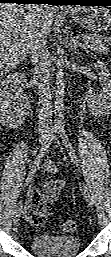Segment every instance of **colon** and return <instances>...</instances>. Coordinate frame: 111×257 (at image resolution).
I'll return each instance as SVG.
<instances>
[{"label":"colon","instance_id":"5ec220e1","mask_svg":"<svg viewBox=\"0 0 111 257\" xmlns=\"http://www.w3.org/2000/svg\"><path fill=\"white\" fill-rule=\"evenodd\" d=\"M76 228H77V224L74 220L68 219L62 223V229L65 232H68V233L74 232Z\"/></svg>","mask_w":111,"mask_h":257}]
</instances>
